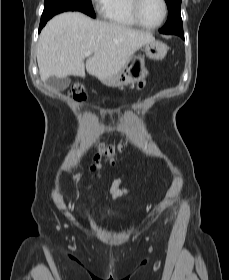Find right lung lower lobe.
Masks as SVG:
<instances>
[{
  "label": "right lung lower lobe",
  "mask_w": 229,
  "mask_h": 280,
  "mask_svg": "<svg viewBox=\"0 0 229 280\" xmlns=\"http://www.w3.org/2000/svg\"><path fill=\"white\" fill-rule=\"evenodd\" d=\"M48 20L49 19H47V18H42L41 17L39 32L41 31V29L44 27V25L47 23Z\"/></svg>",
  "instance_id": "98d812e1"
}]
</instances>
